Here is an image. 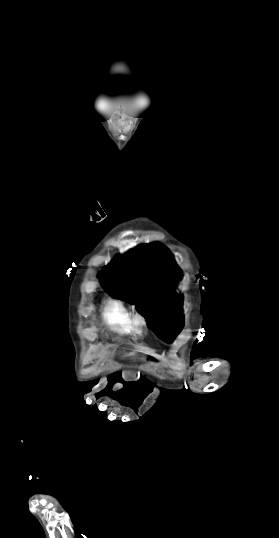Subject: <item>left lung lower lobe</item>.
I'll return each instance as SVG.
<instances>
[{"instance_id":"left-lung-lower-lobe-1","label":"left lung lower lobe","mask_w":279,"mask_h":538,"mask_svg":"<svg viewBox=\"0 0 279 538\" xmlns=\"http://www.w3.org/2000/svg\"><path fill=\"white\" fill-rule=\"evenodd\" d=\"M174 337H175V335H173V334H169V335L164 336L163 339H164L165 341H167V342H172L173 339H174Z\"/></svg>"}]
</instances>
